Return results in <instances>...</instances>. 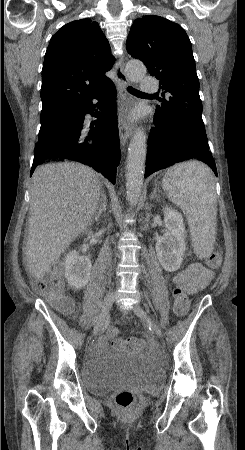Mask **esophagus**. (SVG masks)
<instances>
[{
    "mask_svg": "<svg viewBox=\"0 0 245 450\" xmlns=\"http://www.w3.org/2000/svg\"><path fill=\"white\" fill-rule=\"evenodd\" d=\"M115 73L118 79V91L122 102L128 97L127 86L129 85L128 78L124 72L123 58H120L115 65ZM119 136L121 145L124 147L127 140L132 135V125L126 120L124 111L121 109L118 118Z\"/></svg>",
    "mask_w": 245,
    "mask_h": 450,
    "instance_id": "obj_1",
    "label": "esophagus"
}]
</instances>
